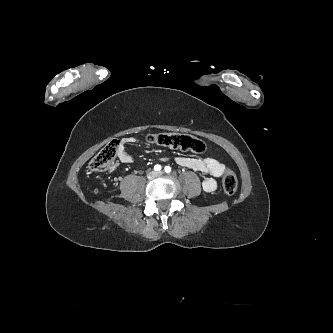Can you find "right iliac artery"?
<instances>
[{"instance_id": "1", "label": "right iliac artery", "mask_w": 333, "mask_h": 333, "mask_svg": "<svg viewBox=\"0 0 333 333\" xmlns=\"http://www.w3.org/2000/svg\"><path fill=\"white\" fill-rule=\"evenodd\" d=\"M162 169V167H161V165H159V164H156L155 166H154V170L155 171H160Z\"/></svg>"}]
</instances>
